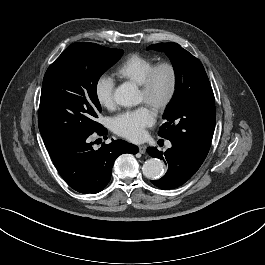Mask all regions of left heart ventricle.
<instances>
[{
    "mask_svg": "<svg viewBox=\"0 0 265 265\" xmlns=\"http://www.w3.org/2000/svg\"><path fill=\"white\" fill-rule=\"evenodd\" d=\"M170 81V75L167 70H161L156 78L155 83V94L157 97H161L165 94L168 89ZM140 101L145 102V96L140 92Z\"/></svg>",
    "mask_w": 265,
    "mask_h": 265,
    "instance_id": "b2bd125f",
    "label": "left heart ventricle"
}]
</instances>
